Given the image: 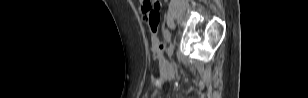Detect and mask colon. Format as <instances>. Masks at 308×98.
<instances>
[{
	"instance_id": "colon-1",
	"label": "colon",
	"mask_w": 308,
	"mask_h": 98,
	"mask_svg": "<svg viewBox=\"0 0 308 98\" xmlns=\"http://www.w3.org/2000/svg\"><path fill=\"white\" fill-rule=\"evenodd\" d=\"M146 4L144 5L142 9V13L144 14L141 17V20L143 22L148 23V31L151 32V40H152V51L155 55V57L158 60H162V55H163V45L160 43L157 37V30L159 29V26L157 25L159 23L160 19V8H161V3L159 1H149L145 0Z\"/></svg>"
}]
</instances>
